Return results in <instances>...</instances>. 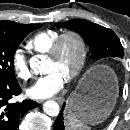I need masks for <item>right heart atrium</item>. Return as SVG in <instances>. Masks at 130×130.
<instances>
[{
  "instance_id": "d8ad5b80",
  "label": "right heart atrium",
  "mask_w": 130,
  "mask_h": 130,
  "mask_svg": "<svg viewBox=\"0 0 130 130\" xmlns=\"http://www.w3.org/2000/svg\"><path fill=\"white\" fill-rule=\"evenodd\" d=\"M12 66L20 78L27 79L30 77L31 73L23 50L16 49L14 51L12 55Z\"/></svg>"
}]
</instances>
